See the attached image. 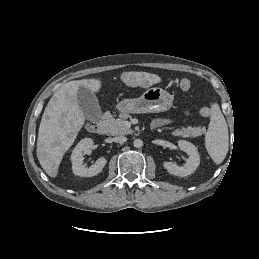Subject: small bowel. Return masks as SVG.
<instances>
[{
  "label": "small bowel",
  "instance_id": "1",
  "mask_svg": "<svg viewBox=\"0 0 259 259\" xmlns=\"http://www.w3.org/2000/svg\"><path fill=\"white\" fill-rule=\"evenodd\" d=\"M170 122L169 119H166V118H160V119H157L153 122V127H160V126H163L165 124H168Z\"/></svg>",
  "mask_w": 259,
  "mask_h": 259
}]
</instances>
